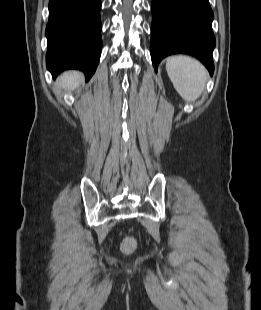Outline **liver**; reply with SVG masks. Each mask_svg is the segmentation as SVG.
I'll list each match as a JSON object with an SVG mask.
<instances>
[{
    "label": "liver",
    "mask_w": 261,
    "mask_h": 310,
    "mask_svg": "<svg viewBox=\"0 0 261 310\" xmlns=\"http://www.w3.org/2000/svg\"><path fill=\"white\" fill-rule=\"evenodd\" d=\"M82 82V75L77 71H68L61 75L58 81L60 87L68 90H74Z\"/></svg>",
    "instance_id": "1"
}]
</instances>
